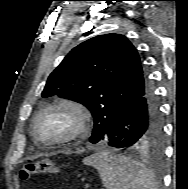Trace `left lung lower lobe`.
<instances>
[{
	"instance_id": "obj_1",
	"label": "left lung lower lobe",
	"mask_w": 188,
	"mask_h": 189,
	"mask_svg": "<svg viewBox=\"0 0 188 189\" xmlns=\"http://www.w3.org/2000/svg\"><path fill=\"white\" fill-rule=\"evenodd\" d=\"M159 105L150 84L137 94L102 138L116 148L136 149L144 141L161 137Z\"/></svg>"
}]
</instances>
